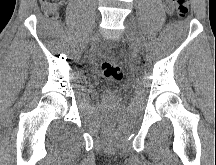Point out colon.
<instances>
[{"instance_id": "5ec220e1", "label": "colon", "mask_w": 216, "mask_h": 165, "mask_svg": "<svg viewBox=\"0 0 216 165\" xmlns=\"http://www.w3.org/2000/svg\"><path fill=\"white\" fill-rule=\"evenodd\" d=\"M176 15L179 19H184L189 12L190 0H173ZM64 0H40L44 13L50 17L56 16ZM103 75L111 81H121L123 79L122 68L111 58L105 59L101 64Z\"/></svg>"}]
</instances>
